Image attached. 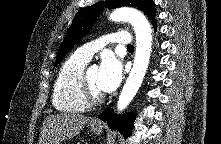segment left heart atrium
<instances>
[{"label": "left heart atrium", "instance_id": "39dd6f15", "mask_svg": "<svg viewBox=\"0 0 221 144\" xmlns=\"http://www.w3.org/2000/svg\"><path fill=\"white\" fill-rule=\"evenodd\" d=\"M123 76L122 63L115 56L107 54L98 69L97 86L102 92H112L120 84Z\"/></svg>", "mask_w": 221, "mask_h": 144}]
</instances>
